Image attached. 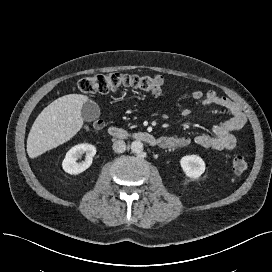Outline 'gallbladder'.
<instances>
[{
    "instance_id": "bac80fb5",
    "label": "gallbladder",
    "mask_w": 272,
    "mask_h": 272,
    "mask_svg": "<svg viewBox=\"0 0 272 272\" xmlns=\"http://www.w3.org/2000/svg\"><path fill=\"white\" fill-rule=\"evenodd\" d=\"M82 119L86 122H92L100 116L99 106L93 101H87L82 107Z\"/></svg>"
}]
</instances>
